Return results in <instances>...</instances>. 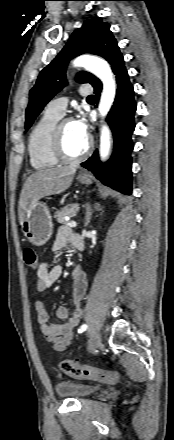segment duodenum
I'll return each mask as SVG.
<instances>
[{
	"instance_id": "obj_1",
	"label": "duodenum",
	"mask_w": 174,
	"mask_h": 440,
	"mask_svg": "<svg viewBox=\"0 0 174 440\" xmlns=\"http://www.w3.org/2000/svg\"><path fill=\"white\" fill-rule=\"evenodd\" d=\"M77 236H78V237H77V239H76L75 246H76L77 248H79V249H83V247H84V240H83L82 236H79V235H77Z\"/></svg>"
}]
</instances>
